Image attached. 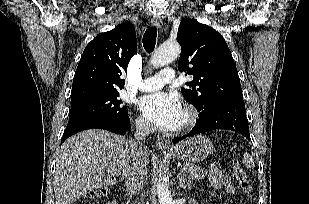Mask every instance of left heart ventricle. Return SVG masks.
I'll return each mask as SVG.
<instances>
[{"mask_svg": "<svg viewBox=\"0 0 309 204\" xmlns=\"http://www.w3.org/2000/svg\"><path fill=\"white\" fill-rule=\"evenodd\" d=\"M184 117H185V116H184V112H183L179 125L183 122Z\"/></svg>", "mask_w": 309, "mask_h": 204, "instance_id": "1", "label": "left heart ventricle"}]
</instances>
